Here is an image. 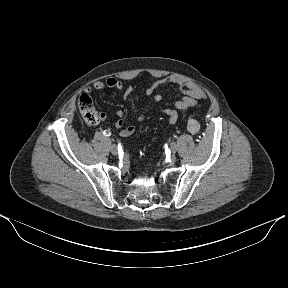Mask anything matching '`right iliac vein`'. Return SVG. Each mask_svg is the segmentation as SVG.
I'll list each match as a JSON object with an SVG mask.
<instances>
[{
  "label": "right iliac vein",
  "mask_w": 288,
  "mask_h": 288,
  "mask_svg": "<svg viewBox=\"0 0 288 288\" xmlns=\"http://www.w3.org/2000/svg\"><path fill=\"white\" fill-rule=\"evenodd\" d=\"M110 151H111L112 154L116 155V154L118 153V148H117V146H116L115 144H112V145L110 146Z\"/></svg>",
  "instance_id": "63e3f726"
}]
</instances>
